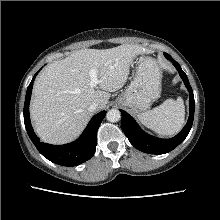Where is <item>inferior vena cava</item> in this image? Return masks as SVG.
<instances>
[{
  "label": "inferior vena cava",
  "instance_id": "602c4592",
  "mask_svg": "<svg viewBox=\"0 0 220 220\" xmlns=\"http://www.w3.org/2000/svg\"><path fill=\"white\" fill-rule=\"evenodd\" d=\"M98 106H99L98 103L93 102V103L90 104V106L88 107V110H89L90 112H94V111H96V109L98 108Z\"/></svg>",
  "mask_w": 220,
  "mask_h": 220
}]
</instances>
